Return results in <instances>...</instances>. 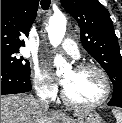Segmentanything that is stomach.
<instances>
[{
    "mask_svg": "<svg viewBox=\"0 0 122 123\" xmlns=\"http://www.w3.org/2000/svg\"><path fill=\"white\" fill-rule=\"evenodd\" d=\"M59 120L62 123H102V118L99 114L88 110L81 111L76 118L60 116Z\"/></svg>",
    "mask_w": 122,
    "mask_h": 123,
    "instance_id": "0dacf381",
    "label": "stomach"
}]
</instances>
